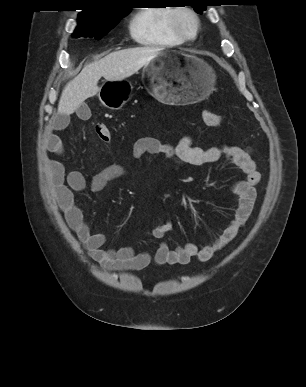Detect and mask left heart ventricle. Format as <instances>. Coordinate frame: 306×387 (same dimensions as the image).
I'll use <instances>...</instances> for the list:
<instances>
[{
  "label": "left heart ventricle",
  "instance_id": "left-heart-ventricle-1",
  "mask_svg": "<svg viewBox=\"0 0 306 387\" xmlns=\"http://www.w3.org/2000/svg\"><path fill=\"white\" fill-rule=\"evenodd\" d=\"M181 22L188 33H192L194 31V21L189 15H183Z\"/></svg>",
  "mask_w": 306,
  "mask_h": 387
}]
</instances>
